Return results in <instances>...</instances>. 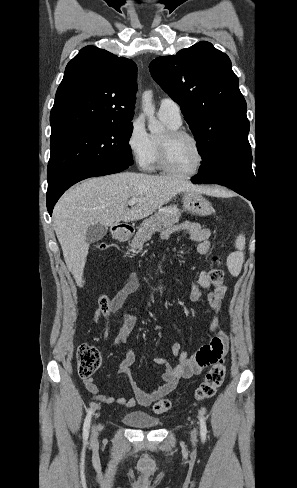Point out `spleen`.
Masks as SVG:
<instances>
[{
  "label": "spleen",
  "mask_w": 297,
  "mask_h": 488,
  "mask_svg": "<svg viewBox=\"0 0 297 488\" xmlns=\"http://www.w3.org/2000/svg\"><path fill=\"white\" fill-rule=\"evenodd\" d=\"M237 251L231 253L227 258V266L233 276H238L244 262L243 250L245 248V236L240 235L235 242Z\"/></svg>",
  "instance_id": "3e777b00"
}]
</instances>
